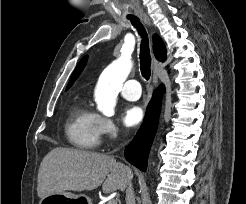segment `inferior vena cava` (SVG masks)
Returning <instances> with one entry per match:
<instances>
[{
	"label": "inferior vena cava",
	"instance_id": "602c4592",
	"mask_svg": "<svg viewBox=\"0 0 246 204\" xmlns=\"http://www.w3.org/2000/svg\"><path fill=\"white\" fill-rule=\"evenodd\" d=\"M125 199H126V204H135V195H134V190L131 181H129L128 183Z\"/></svg>",
	"mask_w": 246,
	"mask_h": 204
}]
</instances>
